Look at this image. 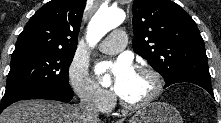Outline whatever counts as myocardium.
Listing matches in <instances>:
<instances>
[{
	"instance_id": "myocardium-1",
	"label": "myocardium",
	"mask_w": 221,
	"mask_h": 123,
	"mask_svg": "<svg viewBox=\"0 0 221 123\" xmlns=\"http://www.w3.org/2000/svg\"><path fill=\"white\" fill-rule=\"evenodd\" d=\"M137 71L151 77L154 83L153 90L147 98L138 103L127 102L118 95L120 105L127 110H140L149 106L160 96L163 89V78L157 70L148 65H141L137 68Z\"/></svg>"
}]
</instances>
